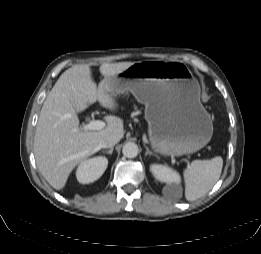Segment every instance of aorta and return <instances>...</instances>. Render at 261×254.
Here are the masks:
<instances>
[{"mask_svg":"<svg viewBox=\"0 0 261 254\" xmlns=\"http://www.w3.org/2000/svg\"><path fill=\"white\" fill-rule=\"evenodd\" d=\"M122 153L127 158H135L138 155V146L134 142H128L123 146Z\"/></svg>","mask_w":261,"mask_h":254,"instance_id":"1","label":"aorta"}]
</instances>
